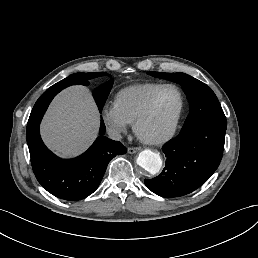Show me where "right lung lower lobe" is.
Segmentation results:
<instances>
[{
    "instance_id": "right-lung-lower-lobe-1",
    "label": "right lung lower lobe",
    "mask_w": 258,
    "mask_h": 258,
    "mask_svg": "<svg viewBox=\"0 0 258 258\" xmlns=\"http://www.w3.org/2000/svg\"><path fill=\"white\" fill-rule=\"evenodd\" d=\"M76 84L88 85L89 79L70 75L47 89L35 103L26 130L31 164L38 182L52 195L69 201L81 200L92 194L98 188L109 161L127 152L120 142L103 136L106 130L103 119L93 145L74 159L63 160L44 145L39 125L45 111L56 94Z\"/></svg>"
}]
</instances>
